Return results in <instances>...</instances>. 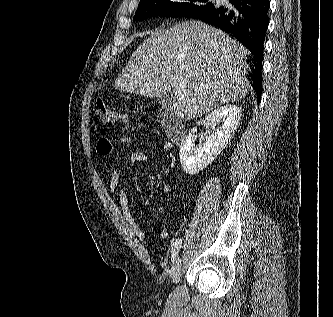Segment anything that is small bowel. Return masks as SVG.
Returning a JSON list of instances; mask_svg holds the SVG:
<instances>
[{
	"instance_id": "1",
	"label": "small bowel",
	"mask_w": 333,
	"mask_h": 317,
	"mask_svg": "<svg viewBox=\"0 0 333 317\" xmlns=\"http://www.w3.org/2000/svg\"><path fill=\"white\" fill-rule=\"evenodd\" d=\"M120 142L123 144L130 143V138L128 136H124L120 139ZM115 147L112 141H110L106 137L99 138L96 145L97 153L102 158H107L113 151ZM152 160V157L143 152V151H134L128 156V162L130 164L138 163V162H150ZM120 178L121 174L120 171L117 168H113L111 170V177L109 182V189L110 193H118L119 201L121 210L124 216L125 221L133 231V233L140 239H144L146 237L145 232L138 226L137 222L132 216L131 208L129 199L127 196L126 190L121 186L120 184ZM163 193L167 196L172 195L174 192L173 187L170 184H165L162 188ZM169 233L167 229H162L159 232V237L161 239H166L168 237Z\"/></svg>"
}]
</instances>
